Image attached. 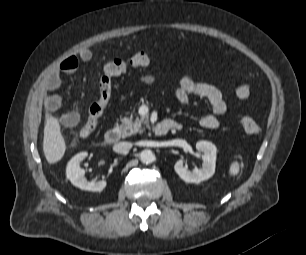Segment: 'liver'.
I'll return each mask as SVG.
<instances>
[{"instance_id":"1","label":"liver","mask_w":306,"mask_h":255,"mask_svg":"<svg viewBox=\"0 0 306 255\" xmlns=\"http://www.w3.org/2000/svg\"><path fill=\"white\" fill-rule=\"evenodd\" d=\"M43 151L50 164L60 161L66 151V141L61 133V126L56 117L50 116L44 127Z\"/></svg>"}]
</instances>
